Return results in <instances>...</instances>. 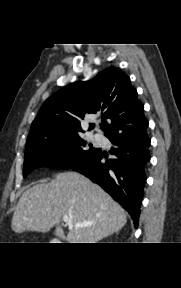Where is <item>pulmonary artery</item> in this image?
Listing matches in <instances>:
<instances>
[{
    "mask_svg": "<svg viewBox=\"0 0 181 288\" xmlns=\"http://www.w3.org/2000/svg\"><path fill=\"white\" fill-rule=\"evenodd\" d=\"M94 138H95L96 141H99V142L102 141V139H103L102 136L99 135V134H95Z\"/></svg>",
    "mask_w": 181,
    "mask_h": 288,
    "instance_id": "pulmonary-artery-1",
    "label": "pulmonary artery"
}]
</instances>
